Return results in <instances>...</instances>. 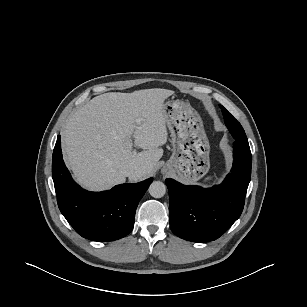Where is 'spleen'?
I'll list each match as a JSON object with an SVG mask.
<instances>
[{"instance_id": "1", "label": "spleen", "mask_w": 307, "mask_h": 307, "mask_svg": "<svg viewBox=\"0 0 307 307\" xmlns=\"http://www.w3.org/2000/svg\"><path fill=\"white\" fill-rule=\"evenodd\" d=\"M211 180H213V178H212V177H208V178L206 179V182H210Z\"/></svg>"}]
</instances>
